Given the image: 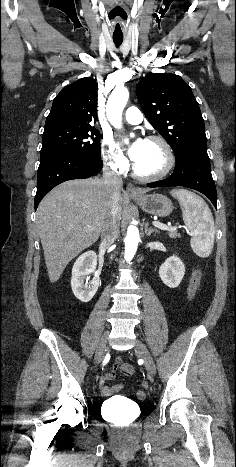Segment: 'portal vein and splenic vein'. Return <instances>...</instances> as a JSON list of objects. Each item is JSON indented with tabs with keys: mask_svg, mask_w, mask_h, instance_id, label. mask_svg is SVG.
I'll use <instances>...</instances> for the list:
<instances>
[{
	"mask_svg": "<svg viewBox=\"0 0 236 467\" xmlns=\"http://www.w3.org/2000/svg\"><path fill=\"white\" fill-rule=\"evenodd\" d=\"M153 225L158 228V229H161V230H166V231H175L176 230V227H171V226H167L161 222H157V221H154L153 222ZM188 233V231H187Z\"/></svg>",
	"mask_w": 236,
	"mask_h": 467,
	"instance_id": "obj_1",
	"label": "portal vein and splenic vein"
}]
</instances>
